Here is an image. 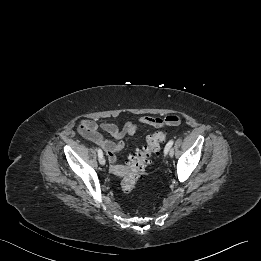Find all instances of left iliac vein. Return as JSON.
Wrapping results in <instances>:
<instances>
[{
    "mask_svg": "<svg viewBox=\"0 0 261 261\" xmlns=\"http://www.w3.org/2000/svg\"><path fill=\"white\" fill-rule=\"evenodd\" d=\"M165 155H166V154H165ZM169 155H170L171 157L174 155L173 149H170V150H169Z\"/></svg>",
    "mask_w": 261,
    "mask_h": 261,
    "instance_id": "obj_1",
    "label": "left iliac vein"
}]
</instances>
